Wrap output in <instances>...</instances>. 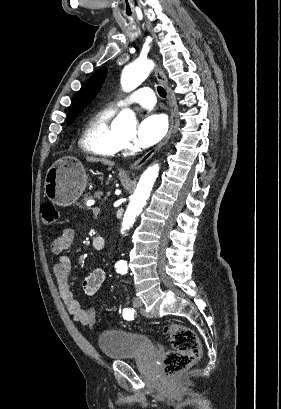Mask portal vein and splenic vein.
Returning <instances> with one entry per match:
<instances>
[{"label":"portal vein and splenic vein","instance_id":"18ae733b","mask_svg":"<svg viewBox=\"0 0 281 409\" xmlns=\"http://www.w3.org/2000/svg\"><path fill=\"white\" fill-rule=\"evenodd\" d=\"M93 210H94L93 213H92L93 216L96 217V218L99 217L100 214H101L100 212L102 210L101 207L97 205V206L94 207Z\"/></svg>","mask_w":281,"mask_h":409}]
</instances>
